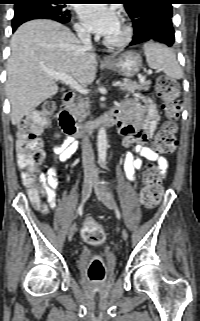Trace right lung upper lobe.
<instances>
[{"mask_svg": "<svg viewBox=\"0 0 200 321\" xmlns=\"http://www.w3.org/2000/svg\"><path fill=\"white\" fill-rule=\"evenodd\" d=\"M18 2H22V1H25V0H17ZM17 4V3H16Z\"/></svg>", "mask_w": 200, "mask_h": 321, "instance_id": "obj_1", "label": "right lung upper lobe"}]
</instances>
